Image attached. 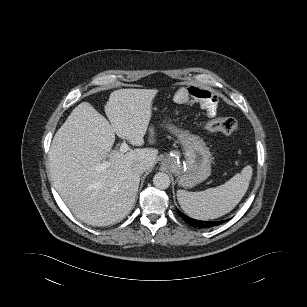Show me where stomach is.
I'll return each mask as SVG.
<instances>
[{"mask_svg": "<svg viewBox=\"0 0 307 307\" xmlns=\"http://www.w3.org/2000/svg\"><path fill=\"white\" fill-rule=\"evenodd\" d=\"M169 129L183 146L186 164L180 162L179 152L172 151L162 159V165L177 175L178 185L182 187H192L206 180L211 174L212 156L203 139L173 125H169Z\"/></svg>", "mask_w": 307, "mask_h": 307, "instance_id": "obj_1", "label": "stomach"}]
</instances>
